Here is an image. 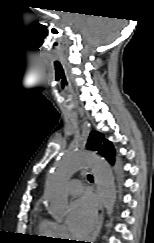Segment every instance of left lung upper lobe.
Returning a JSON list of instances; mask_svg holds the SVG:
<instances>
[{
  "label": "left lung upper lobe",
  "instance_id": "obj_1",
  "mask_svg": "<svg viewBox=\"0 0 154 243\" xmlns=\"http://www.w3.org/2000/svg\"><path fill=\"white\" fill-rule=\"evenodd\" d=\"M87 148L98 150L109 162L114 163V148L111 142L104 139L103 134L96 131L91 132Z\"/></svg>",
  "mask_w": 154,
  "mask_h": 243
}]
</instances>
